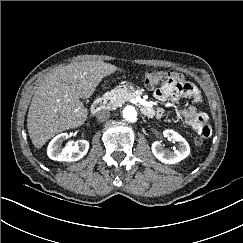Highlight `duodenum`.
<instances>
[{
  "label": "duodenum",
  "mask_w": 243,
  "mask_h": 243,
  "mask_svg": "<svg viewBox=\"0 0 243 243\" xmlns=\"http://www.w3.org/2000/svg\"><path fill=\"white\" fill-rule=\"evenodd\" d=\"M109 104H110V98H108V97L97 98L93 101V103L91 105V112L93 114H97L98 112H100L103 108H105ZM141 110H142L143 114L148 117H152L155 114L154 109L148 105L142 106Z\"/></svg>",
  "instance_id": "obj_1"
}]
</instances>
